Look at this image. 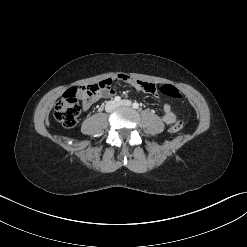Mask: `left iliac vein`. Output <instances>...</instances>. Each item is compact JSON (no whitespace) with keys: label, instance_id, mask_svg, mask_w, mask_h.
<instances>
[{"label":"left iliac vein","instance_id":"4c4485c4","mask_svg":"<svg viewBox=\"0 0 247 247\" xmlns=\"http://www.w3.org/2000/svg\"><path fill=\"white\" fill-rule=\"evenodd\" d=\"M117 106H127V107H129V106H131V101H129V100H122L121 102H119L117 104Z\"/></svg>","mask_w":247,"mask_h":247}]
</instances>
